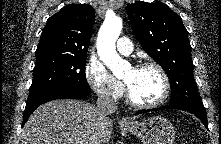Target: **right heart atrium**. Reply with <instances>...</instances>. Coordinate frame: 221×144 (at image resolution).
<instances>
[{"instance_id": "right-heart-atrium-1", "label": "right heart atrium", "mask_w": 221, "mask_h": 144, "mask_svg": "<svg viewBox=\"0 0 221 144\" xmlns=\"http://www.w3.org/2000/svg\"><path fill=\"white\" fill-rule=\"evenodd\" d=\"M85 78L93 91L103 99L116 101L124 93L123 84L97 58H91L86 64Z\"/></svg>"}]
</instances>
